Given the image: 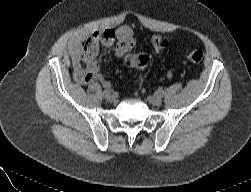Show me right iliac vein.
Listing matches in <instances>:
<instances>
[{"instance_id": "obj_1", "label": "right iliac vein", "mask_w": 251, "mask_h": 192, "mask_svg": "<svg viewBox=\"0 0 251 192\" xmlns=\"http://www.w3.org/2000/svg\"><path fill=\"white\" fill-rule=\"evenodd\" d=\"M106 99L109 101V102H115L116 101V96L114 94H109Z\"/></svg>"}]
</instances>
